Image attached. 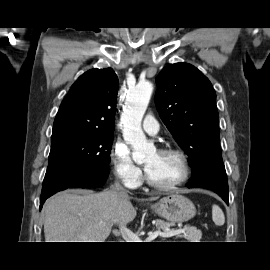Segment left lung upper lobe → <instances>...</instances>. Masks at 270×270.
I'll return each mask as SVG.
<instances>
[{
  "label": "left lung upper lobe",
  "instance_id": "obj_1",
  "mask_svg": "<svg viewBox=\"0 0 270 270\" xmlns=\"http://www.w3.org/2000/svg\"><path fill=\"white\" fill-rule=\"evenodd\" d=\"M155 104L179 146L189 156L191 180L212 166H224L219 144L215 90L196 67L169 64L156 78Z\"/></svg>",
  "mask_w": 270,
  "mask_h": 270
}]
</instances>
